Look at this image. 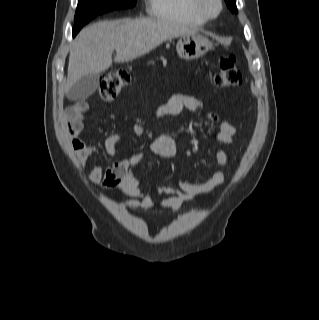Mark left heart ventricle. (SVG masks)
I'll return each instance as SVG.
<instances>
[{
	"label": "left heart ventricle",
	"instance_id": "1",
	"mask_svg": "<svg viewBox=\"0 0 319 320\" xmlns=\"http://www.w3.org/2000/svg\"><path fill=\"white\" fill-rule=\"evenodd\" d=\"M209 8L214 11L216 9V5L213 2H209Z\"/></svg>",
	"mask_w": 319,
	"mask_h": 320
}]
</instances>
